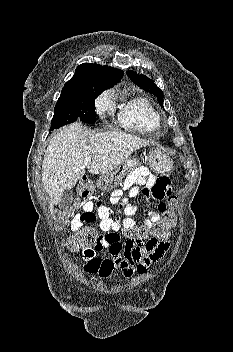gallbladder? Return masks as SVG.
I'll return each instance as SVG.
<instances>
[{
  "mask_svg": "<svg viewBox=\"0 0 233 352\" xmlns=\"http://www.w3.org/2000/svg\"><path fill=\"white\" fill-rule=\"evenodd\" d=\"M74 201V192L71 189H66L61 197V200L59 202V208L63 210H67L71 208L72 204Z\"/></svg>",
  "mask_w": 233,
  "mask_h": 352,
  "instance_id": "1",
  "label": "gallbladder"
}]
</instances>
